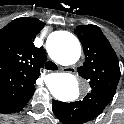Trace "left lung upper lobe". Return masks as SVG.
<instances>
[{"label":"left lung upper lobe","instance_id":"1","mask_svg":"<svg viewBox=\"0 0 124 124\" xmlns=\"http://www.w3.org/2000/svg\"><path fill=\"white\" fill-rule=\"evenodd\" d=\"M75 33L85 54V63L77 71L91 89L80 101L60 102L65 124H84L96 118L112 101L120 78L117 55L101 29L96 25H79Z\"/></svg>","mask_w":124,"mask_h":124}]
</instances>
